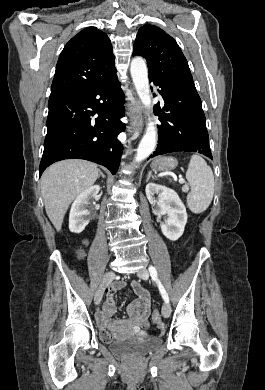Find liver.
<instances>
[{
	"label": "liver",
	"mask_w": 265,
	"mask_h": 390,
	"mask_svg": "<svg viewBox=\"0 0 265 390\" xmlns=\"http://www.w3.org/2000/svg\"><path fill=\"white\" fill-rule=\"evenodd\" d=\"M99 177L97 165L85 160L57 162L42 175L41 192L46 213L57 231L61 230L71 202Z\"/></svg>",
	"instance_id": "6515ba94"
}]
</instances>
